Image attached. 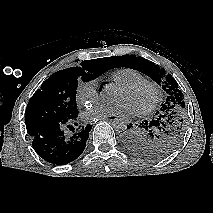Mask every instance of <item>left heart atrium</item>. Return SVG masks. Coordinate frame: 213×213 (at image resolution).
<instances>
[{"mask_svg":"<svg viewBox=\"0 0 213 213\" xmlns=\"http://www.w3.org/2000/svg\"><path fill=\"white\" fill-rule=\"evenodd\" d=\"M132 107L124 102L120 101L113 105L97 104L91 106L84 112V118L86 121H94L109 116H128L132 114Z\"/></svg>","mask_w":213,"mask_h":213,"instance_id":"obj_1","label":"left heart atrium"}]
</instances>
